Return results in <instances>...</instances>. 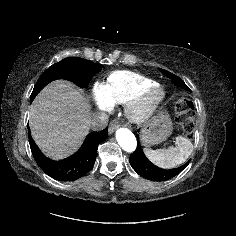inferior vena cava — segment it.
I'll return each mask as SVG.
<instances>
[{
  "instance_id": "inferior-vena-cava-1",
  "label": "inferior vena cava",
  "mask_w": 236,
  "mask_h": 236,
  "mask_svg": "<svg viewBox=\"0 0 236 236\" xmlns=\"http://www.w3.org/2000/svg\"><path fill=\"white\" fill-rule=\"evenodd\" d=\"M108 121L109 117L105 112L95 113L90 119V127L95 131H100L107 126Z\"/></svg>"
}]
</instances>
